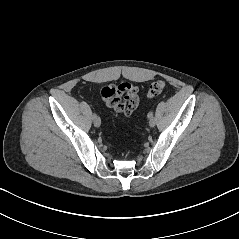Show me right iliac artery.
Wrapping results in <instances>:
<instances>
[{
  "label": "right iliac artery",
  "instance_id": "82829eb1",
  "mask_svg": "<svg viewBox=\"0 0 239 239\" xmlns=\"http://www.w3.org/2000/svg\"><path fill=\"white\" fill-rule=\"evenodd\" d=\"M97 117V114L96 113H93V119Z\"/></svg>",
  "mask_w": 239,
  "mask_h": 239
}]
</instances>
